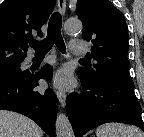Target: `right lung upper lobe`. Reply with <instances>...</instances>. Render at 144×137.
<instances>
[{"label":"right lung upper lobe","mask_w":144,"mask_h":137,"mask_svg":"<svg viewBox=\"0 0 144 137\" xmlns=\"http://www.w3.org/2000/svg\"><path fill=\"white\" fill-rule=\"evenodd\" d=\"M55 0H5L0 5V70L21 63L32 33L42 36Z\"/></svg>","instance_id":"obj_1"}]
</instances>
